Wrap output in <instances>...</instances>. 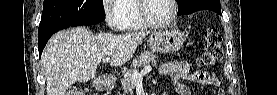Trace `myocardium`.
<instances>
[{"instance_id": "f54148a6", "label": "myocardium", "mask_w": 277, "mask_h": 95, "mask_svg": "<svg viewBox=\"0 0 277 95\" xmlns=\"http://www.w3.org/2000/svg\"><path fill=\"white\" fill-rule=\"evenodd\" d=\"M148 0H139L138 2V13L140 18L143 20V22L150 27H165L170 25L176 15H177V11H178V5H177V1L176 0H170L171 5H172V13L170 15V17L164 21H157L154 19H151L150 17H148L145 13V6H146V2Z\"/></svg>"}]
</instances>
